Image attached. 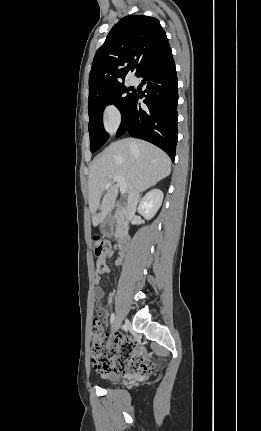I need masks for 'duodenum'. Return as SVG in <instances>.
<instances>
[{
    "mask_svg": "<svg viewBox=\"0 0 261 431\" xmlns=\"http://www.w3.org/2000/svg\"><path fill=\"white\" fill-rule=\"evenodd\" d=\"M105 227H106V230H107V231L110 229V227H111V220H110V219H108V220L106 221V225H105ZM129 243H130V240H129V236H128V234H127L126 232H122V233H120V235H119L118 248H119V253H120V256H121V257H123V256H124L125 251H126V250L128 249V247H129Z\"/></svg>",
    "mask_w": 261,
    "mask_h": 431,
    "instance_id": "410a0bca",
    "label": "duodenum"
}]
</instances>
